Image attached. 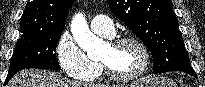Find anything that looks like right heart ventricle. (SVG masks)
I'll return each mask as SVG.
<instances>
[{"label": "right heart ventricle", "mask_w": 205, "mask_h": 87, "mask_svg": "<svg viewBox=\"0 0 205 87\" xmlns=\"http://www.w3.org/2000/svg\"><path fill=\"white\" fill-rule=\"evenodd\" d=\"M98 75H99V73H98L96 76L91 77V78H88V79H85V80H93V79H95Z\"/></svg>", "instance_id": "e07e8e85"}]
</instances>
